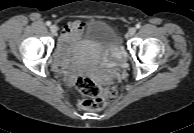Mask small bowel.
<instances>
[{"label": "small bowel", "instance_id": "c3829d8e", "mask_svg": "<svg viewBox=\"0 0 194 133\" xmlns=\"http://www.w3.org/2000/svg\"><path fill=\"white\" fill-rule=\"evenodd\" d=\"M85 24L80 21H73L68 23L62 32L60 38L59 49L55 59V66L60 73L65 74V77L70 81L71 75L64 72V67L68 60V53L72 43L78 38L80 33L84 30Z\"/></svg>", "mask_w": 194, "mask_h": 133}]
</instances>
